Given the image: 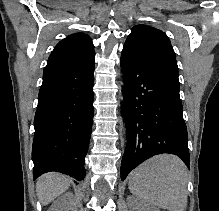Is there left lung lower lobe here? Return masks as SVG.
<instances>
[{
	"label": "left lung lower lobe",
	"mask_w": 219,
	"mask_h": 211,
	"mask_svg": "<svg viewBox=\"0 0 219 211\" xmlns=\"http://www.w3.org/2000/svg\"><path fill=\"white\" fill-rule=\"evenodd\" d=\"M124 71L122 115L128 143L121 163V179L146 159L163 153L190 164L188 134L179 85L122 53Z\"/></svg>",
	"instance_id": "1"
}]
</instances>
